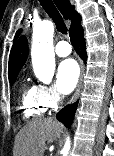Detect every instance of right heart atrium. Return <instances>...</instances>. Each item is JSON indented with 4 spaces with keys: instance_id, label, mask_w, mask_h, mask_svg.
<instances>
[{
    "instance_id": "d8ad5b80",
    "label": "right heart atrium",
    "mask_w": 114,
    "mask_h": 156,
    "mask_svg": "<svg viewBox=\"0 0 114 156\" xmlns=\"http://www.w3.org/2000/svg\"><path fill=\"white\" fill-rule=\"evenodd\" d=\"M39 97L46 108H55L61 102V95L53 85H38Z\"/></svg>"
}]
</instances>
